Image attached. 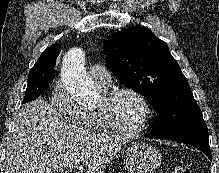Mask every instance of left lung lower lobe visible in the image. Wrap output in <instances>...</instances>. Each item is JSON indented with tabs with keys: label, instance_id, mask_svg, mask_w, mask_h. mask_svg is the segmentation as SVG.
I'll return each instance as SVG.
<instances>
[{
	"label": "left lung lower lobe",
	"instance_id": "left-lung-lower-lobe-1",
	"mask_svg": "<svg viewBox=\"0 0 219 173\" xmlns=\"http://www.w3.org/2000/svg\"><path fill=\"white\" fill-rule=\"evenodd\" d=\"M149 138H167L172 139L174 141L190 144L198 149H200L203 153H205L210 160H212L211 151L209 147V137L204 134H188L179 137H155L149 134L145 135Z\"/></svg>",
	"mask_w": 219,
	"mask_h": 173
}]
</instances>
